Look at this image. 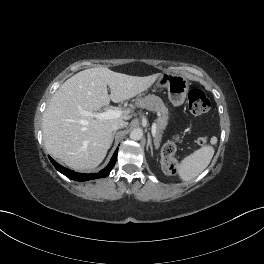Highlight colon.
<instances>
[{
	"label": "colon",
	"mask_w": 264,
	"mask_h": 264,
	"mask_svg": "<svg viewBox=\"0 0 264 264\" xmlns=\"http://www.w3.org/2000/svg\"><path fill=\"white\" fill-rule=\"evenodd\" d=\"M188 107L192 114L201 115L207 112L210 108V100L207 98L205 93L200 89H192L188 94ZM208 139L206 137H201L197 140L199 145H205ZM177 138H174L166 142L161 150V155L164 160L166 167L175 171L176 162L173 158L176 148H177Z\"/></svg>",
	"instance_id": "5ec220e1"
}]
</instances>
